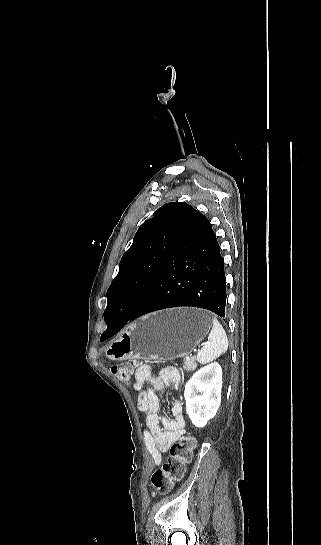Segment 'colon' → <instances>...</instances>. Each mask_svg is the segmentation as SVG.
I'll return each mask as SVG.
<instances>
[{
    "label": "colon",
    "instance_id": "obj_1",
    "mask_svg": "<svg viewBox=\"0 0 321 545\" xmlns=\"http://www.w3.org/2000/svg\"><path fill=\"white\" fill-rule=\"evenodd\" d=\"M111 372L124 384L132 382L133 366L129 363L115 364L111 367ZM194 448L195 440L192 437H184L171 446L168 460L151 476V487L155 494L169 493L183 478Z\"/></svg>",
    "mask_w": 321,
    "mask_h": 545
}]
</instances>
